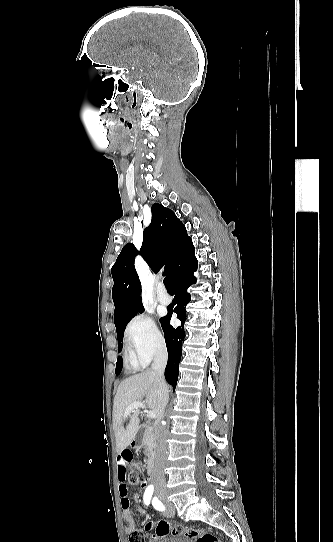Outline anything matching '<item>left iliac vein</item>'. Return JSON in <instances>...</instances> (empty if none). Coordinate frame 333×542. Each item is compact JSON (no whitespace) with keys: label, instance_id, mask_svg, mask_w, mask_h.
<instances>
[{"label":"left iliac vein","instance_id":"left-iliac-vein-1","mask_svg":"<svg viewBox=\"0 0 333 542\" xmlns=\"http://www.w3.org/2000/svg\"><path fill=\"white\" fill-rule=\"evenodd\" d=\"M162 500L164 501V503L167 506V509L164 511V516H166L168 518L173 517L174 513H175L173 504L170 501H168V499L166 497H162Z\"/></svg>","mask_w":333,"mask_h":542}]
</instances>
